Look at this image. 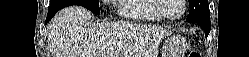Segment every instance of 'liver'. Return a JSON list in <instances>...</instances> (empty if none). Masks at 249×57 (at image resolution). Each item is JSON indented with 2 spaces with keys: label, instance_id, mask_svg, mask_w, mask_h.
Masks as SVG:
<instances>
[{
  "label": "liver",
  "instance_id": "obj_1",
  "mask_svg": "<svg viewBox=\"0 0 249 57\" xmlns=\"http://www.w3.org/2000/svg\"><path fill=\"white\" fill-rule=\"evenodd\" d=\"M91 12L81 6L60 10L49 25L53 57H157L167 31L130 22H102L84 28Z\"/></svg>",
  "mask_w": 249,
  "mask_h": 57
}]
</instances>
